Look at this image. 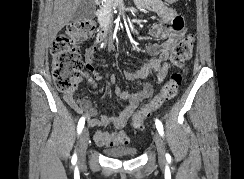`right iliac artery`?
I'll list each match as a JSON object with an SVG mask.
<instances>
[{
	"label": "right iliac artery",
	"mask_w": 244,
	"mask_h": 179,
	"mask_svg": "<svg viewBox=\"0 0 244 179\" xmlns=\"http://www.w3.org/2000/svg\"><path fill=\"white\" fill-rule=\"evenodd\" d=\"M84 124H85V118L82 117V118H80V120L78 122V134L81 133L82 129L84 128ZM76 160H77V156H76V154H74L72 157V161H76Z\"/></svg>",
	"instance_id": "right-iliac-artery-1"
}]
</instances>
